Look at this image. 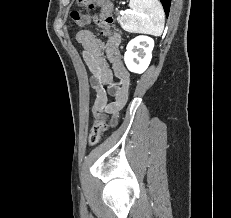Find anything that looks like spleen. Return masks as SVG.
<instances>
[{
    "mask_svg": "<svg viewBox=\"0 0 231 218\" xmlns=\"http://www.w3.org/2000/svg\"><path fill=\"white\" fill-rule=\"evenodd\" d=\"M130 12L121 20L124 30L160 36L164 29L165 14L158 0H130Z\"/></svg>",
    "mask_w": 231,
    "mask_h": 218,
    "instance_id": "3e777b00",
    "label": "spleen"
}]
</instances>
